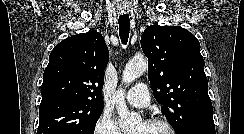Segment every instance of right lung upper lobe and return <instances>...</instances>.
I'll return each instance as SVG.
<instances>
[{
    "label": "right lung upper lobe",
    "mask_w": 244,
    "mask_h": 134,
    "mask_svg": "<svg viewBox=\"0 0 244 134\" xmlns=\"http://www.w3.org/2000/svg\"><path fill=\"white\" fill-rule=\"evenodd\" d=\"M108 61V48L97 31L64 39L50 53L43 75L41 102L64 98L103 104V74Z\"/></svg>",
    "instance_id": "obj_1"
}]
</instances>
